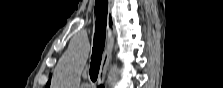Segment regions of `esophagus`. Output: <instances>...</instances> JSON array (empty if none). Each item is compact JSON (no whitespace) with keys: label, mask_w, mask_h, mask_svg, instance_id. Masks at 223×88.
<instances>
[{"label":"esophagus","mask_w":223,"mask_h":88,"mask_svg":"<svg viewBox=\"0 0 223 88\" xmlns=\"http://www.w3.org/2000/svg\"><path fill=\"white\" fill-rule=\"evenodd\" d=\"M113 8H114L113 0H108V13H107L108 44L102 56V62L98 74V85L104 83L107 67L109 65V61L114 46L115 22H114Z\"/></svg>","instance_id":"esophagus-1"}]
</instances>
